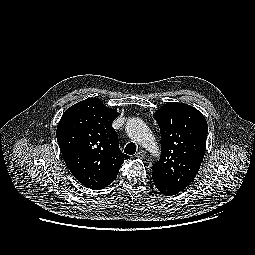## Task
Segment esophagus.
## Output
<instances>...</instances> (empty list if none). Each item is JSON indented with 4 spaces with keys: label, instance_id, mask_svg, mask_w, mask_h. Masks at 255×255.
<instances>
[{
    "label": "esophagus",
    "instance_id": "esophagus-1",
    "mask_svg": "<svg viewBox=\"0 0 255 255\" xmlns=\"http://www.w3.org/2000/svg\"><path fill=\"white\" fill-rule=\"evenodd\" d=\"M135 156L140 159L145 158L146 152L144 150H139Z\"/></svg>",
    "mask_w": 255,
    "mask_h": 255
}]
</instances>
